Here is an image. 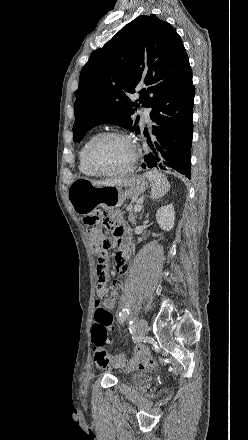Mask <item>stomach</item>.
Returning <instances> with one entry per match:
<instances>
[{
  "mask_svg": "<svg viewBox=\"0 0 248 440\" xmlns=\"http://www.w3.org/2000/svg\"><path fill=\"white\" fill-rule=\"evenodd\" d=\"M148 187L145 178L132 175L113 185H95L87 179H76L68 188V200L73 209L87 214L98 206L120 207L128 198H137Z\"/></svg>",
  "mask_w": 248,
  "mask_h": 440,
  "instance_id": "obj_1",
  "label": "stomach"
}]
</instances>
